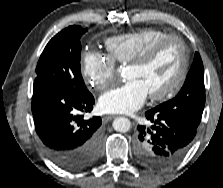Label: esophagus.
<instances>
[{"label": "esophagus", "mask_w": 223, "mask_h": 188, "mask_svg": "<svg viewBox=\"0 0 223 188\" xmlns=\"http://www.w3.org/2000/svg\"><path fill=\"white\" fill-rule=\"evenodd\" d=\"M113 118H115L114 115H106L102 118L103 122L107 123L109 121H111Z\"/></svg>", "instance_id": "esophagus-1"}]
</instances>
